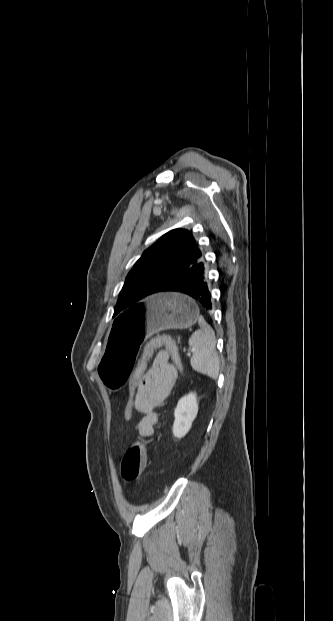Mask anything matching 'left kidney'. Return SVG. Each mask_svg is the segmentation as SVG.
<instances>
[{"label":"left kidney","instance_id":"left-kidney-1","mask_svg":"<svg viewBox=\"0 0 333 621\" xmlns=\"http://www.w3.org/2000/svg\"><path fill=\"white\" fill-rule=\"evenodd\" d=\"M197 413L198 402L195 393L191 392L178 401L173 424V435L176 438H182L189 432Z\"/></svg>","mask_w":333,"mask_h":621}]
</instances>
